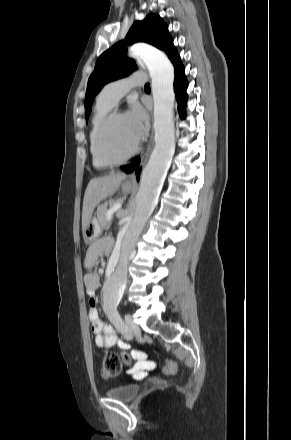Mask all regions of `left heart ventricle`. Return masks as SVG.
<instances>
[{"label": "left heart ventricle", "instance_id": "left-heart-ventricle-1", "mask_svg": "<svg viewBox=\"0 0 291 440\" xmlns=\"http://www.w3.org/2000/svg\"><path fill=\"white\" fill-rule=\"evenodd\" d=\"M137 140L127 118L122 115L116 117L107 128L105 147L111 155L122 157L134 147Z\"/></svg>", "mask_w": 291, "mask_h": 440}]
</instances>
